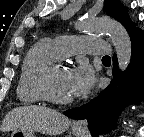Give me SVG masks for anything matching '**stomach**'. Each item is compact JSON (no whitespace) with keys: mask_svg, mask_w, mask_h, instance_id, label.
I'll list each match as a JSON object with an SVG mask.
<instances>
[{"mask_svg":"<svg viewBox=\"0 0 144 137\" xmlns=\"http://www.w3.org/2000/svg\"><path fill=\"white\" fill-rule=\"evenodd\" d=\"M72 132L76 137H81L83 135L82 131L76 128H73ZM11 137H35V135L32 131H22L17 129L12 132Z\"/></svg>","mask_w":144,"mask_h":137,"instance_id":"0dacf381","label":"stomach"}]
</instances>
